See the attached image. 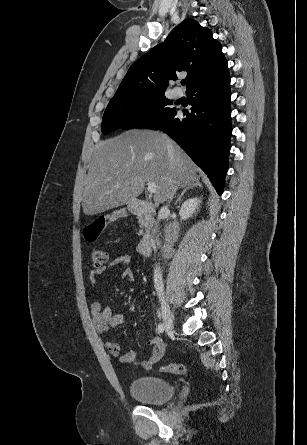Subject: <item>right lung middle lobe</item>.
I'll return each mask as SVG.
<instances>
[{"mask_svg":"<svg viewBox=\"0 0 307 445\" xmlns=\"http://www.w3.org/2000/svg\"><path fill=\"white\" fill-rule=\"evenodd\" d=\"M171 104L164 93L111 99L103 115L101 131L107 134L116 129L152 128L175 111L167 107Z\"/></svg>","mask_w":307,"mask_h":445,"instance_id":"1","label":"right lung middle lobe"}]
</instances>
